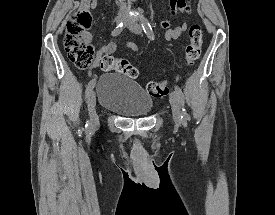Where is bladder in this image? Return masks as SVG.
Returning a JSON list of instances; mask_svg holds the SVG:
<instances>
[{
	"mask_svg": "<svg viewBox=\"0 0 275 215\" xmlns=\"http://www.w3.org/2000/svg\"><path fill=\"white\" fill-rule=\"evenodd\" d=\"M96 90L100 105L123 116L143 117L153 108V101L139 84L122 74H101L97 78Z\"/></svg>",
	"mask_w": 275,
	"mask_h": 215,
	"instance_id": "bladder-1",
	"label": "bladder"
}]
</instances>
